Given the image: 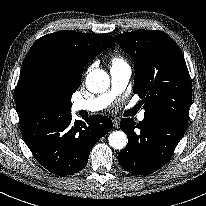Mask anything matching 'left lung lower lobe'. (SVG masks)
<instances>
[{"instance_id":"1","label":"left lung lower lobe","mask_w":206,"mask_h":206,"mask_svg":"<svg viewBox=\"0 0 206 206\" xmlns=\"http://www.w3.org/2000/svg\"><path fill=\"white\" fill-rule=\"evenodd\" d=\"M187 125L159 115L145 116L138 124L130 118L122 119L120 128L128 136V144L118 154L119 164L136 175L155 172L169 161Z\"/></svg>"}]
</instances>
